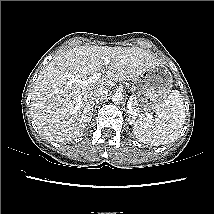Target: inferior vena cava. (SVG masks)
<instances>
[{
	"label": "inferior vena cava",
	"instance_id": "602c4592",
	"mask_svg": "<svg viewBox=\"0 0 214 214\" xmlns=\"http://www.w3.org/2000/svg\"><path fill=\"white\" fill-rule=\"evenodd\" d=\"M107 94H108L107 89H103V88L97 89L91 94L90 101L92 103H98V102L104 100L105 97L107 96Z\"/></svg>",
	"mask_w": 214,
	"mask_h": 214
}]
</instances>
